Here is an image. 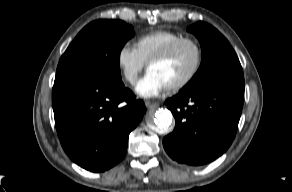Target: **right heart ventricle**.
<instances>
[{
    "label": "right heart ventricle",
    "instance_id": "e07e8e85",
    "mask_svg": "<svg viewBox=\"0 0 292 192\" xmlns=\"http://www.w3.org/2000/svg\"><path fill=\"white\" fill-rule=\"evenodd\" d=\"M182 37L184 36L181 33L171 30H155L141 35L136 40L135 48L142 60L147 63L152 57Z\"/></svg>",
    "mask_w": 292,
    "mask_h": 192
}]
</instances>
